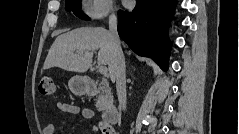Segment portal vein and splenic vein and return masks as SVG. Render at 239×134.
<instances>
[{"label": "portal vein and splenic vein", "instance_id": "obj_1", "mask_svg": "<svg viewBox=\"0 0 239 134\" xmlns=\"http://www.w3.org/2000/svg\"><path fill=\"white\" fill-rule=\"evenodd\" d=\"M99 72H100L102 75L106 76V75H107V67H106V66H100V67H99Z\"/></svg>", "mask_w": 239, "mask_h": 134}]
</instances>
